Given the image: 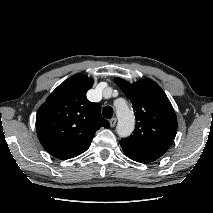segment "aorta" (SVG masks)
Returning <instances> with one entry per match:
<instances>
[{"mask_svg":"<svg viewBox=\"0 0 213 213\" xmlns=\"http://www.w3.org/2000/svg\"><path fill=\"white\" fill-rule=\"evenodd\" d=\"M116 115L118 118L117 134L120 137L130 136L135 126L133 111L126 104H116Z\"/></svg>","mask_w":213,"mask_h":213,"instance_id":"762f6f07","label":"aorta"}]
</instances>
